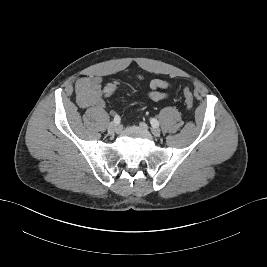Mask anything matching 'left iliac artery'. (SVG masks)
I'll list each match as a JSON object with an SVG mask.
<instances>
[{
	"mask_svg": "<svg viewBox=\"0 0 267 267\" xmlns=\"http://www.w3.org/2000/svg\"><path fill=\"white\" fill-rule=\"evenodd\" d=\"M150 123H151V125H152L153 127H159V122H158V120L155 119V118H151V119H150Z\"/></svg>",
	"mask_w": 267,
	"mask_h": 267,
	"instance_id": "44dca946",
	"label": "left iliac artery"
}]
</instances>
